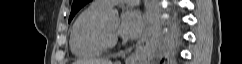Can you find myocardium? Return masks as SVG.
Listing matches in <instances>:
<instances>
[{"label": "myocardium", "mask_w": 242, "mask_h": 64, "mask_svg": "<svg viewBox=\"0 0 242 64\" xmlns=\"http://www.w3.org/2000/svg\"><path fill=\"white\" fill-rule=\"evenodd\" d=\"M91 39L101 48L108 49L115 45V33H110L105 25V18H101L90 31Z\"/></svg>", "instance_id": "obj_1"}]
</instances>
